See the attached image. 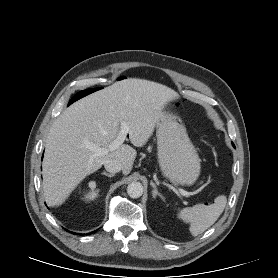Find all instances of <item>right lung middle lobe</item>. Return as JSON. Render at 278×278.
Returning a JSON list of instances; mask_svg holds the SVG:
<instances>
[{"label":"right lung middle lobe","mask_w":278,"mask_h":278,"mask_svg":"<svg viewBox=\"0 0 278 278\" xmlns=\"http://www.w3.org/2000/svg\"><path fill=\"white\" fill-rule=\"evenodd\" d=\"M95 90H97V89L84 90V91L79 92L76 96H78L80 98V97H83V96H85V95H87V94H89V93H91Z\"/></svg>","instance_id":"obj_1"}]
</instances>
